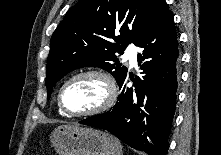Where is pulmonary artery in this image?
<instances>
[{"mask_svg":"<svg viewBox=\"0 0 221 155\" xmlns=\"http://www.w3.org/2000/svg\"><path fill=\"white\" fill-rule=\"evenodd\" d=\"M124 58L129 60L131 66H136L137 65V48L134 46H129L124 53Z\"/></svg>","mask_w":221,"mask_h":155,"instance_id":"e3ab8cb5","label":"pulmonary artery"}]
</instances>
